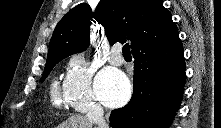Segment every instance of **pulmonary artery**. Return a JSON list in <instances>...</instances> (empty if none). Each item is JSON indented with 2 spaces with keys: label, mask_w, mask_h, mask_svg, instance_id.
<instances>
[{
  "label": "pulmonary artery",
  "mask_w": 221,
  "mask_h": 128,
  "mask_svg": "<svg viewBox=\"0 0 221 128\" xmlns=\"http://www.w3.org/2000/svg\"><path fill=\"white\" fill-rule=\"evenodd\" d=\"M120 52L121 46L119 44H116L112 47L108 55V61L110 64L114 66H121L124 63V58Z\"/></svg>",
  "instance_id": "1"
}]
</instances>
